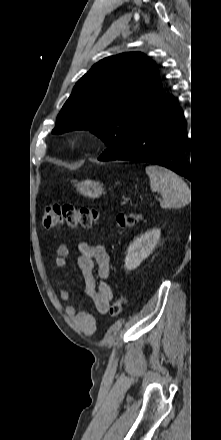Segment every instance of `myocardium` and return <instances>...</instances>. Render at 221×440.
I'll return each mask as SVG.
<instances>
[{"label": "myocardium", "mask_w": 221, "mask_h": 440, "mask_svg": "<svg viewBox=\"0 0 221 440\" xmlns=\"http://www.w3.org/2000/svg\"><path fill=\"white\" fill-rule=\"evenodd\" d=\"M68 142L74 148H82L87 144L88 138L82 132H75L69 137Z\"/></svg>", "instance_id": "obj_1"}]
</instances>
